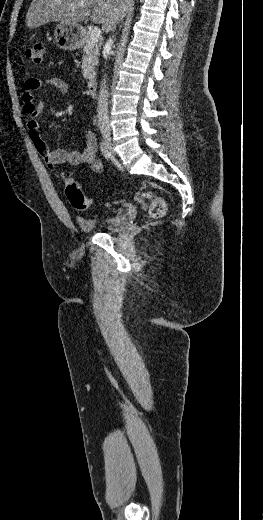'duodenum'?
<instances>
[{"label":"duodenum","mask_w":263,"mask_h":520,"mask_svg":"<svg viewBox=\"0 0 263 520\" xmlns=\"http://www.w3.org/2000/svg\"><path fill=\"white\" fill-rule=\"evenodd\" d=\"M87 91L90 96H95L97 93V80L95 78H91L87 83Z\"/></svg>","instance_id":"1"}]
</instances>
